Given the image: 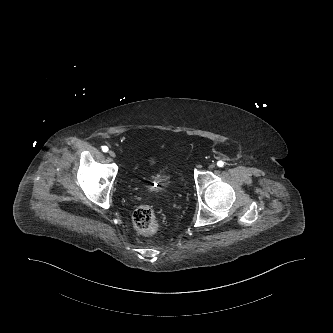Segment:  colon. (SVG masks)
I'll use <instances>...</instances> for the list:
<instances>
[{"label": "colon", "mask_w": 333, "mask_h": 333, "mask_svg": "<svg viewBox=\"0 0 333 333\" xmlns=\"http://www.w3.org/2000/svg\"><path fill=\"white\" fill-rule=\"evenodd\" d=\"M132 222L135 229L145 235L155 234L160 228L154 211L148 206L138 207L132 215Z\"/></svg>", "instance_id": "obj_1"}]
</instances>
